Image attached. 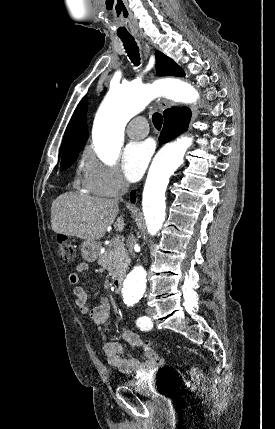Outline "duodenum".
<instances>
[{
	"label": "duodenum",
	"instance_id": "410a0bca",
	"mask_svg": "<svg viewBox=\"0 0 275 429\" xmlns=\"http://www.w3.org/2000/svg\"><path fill=\"white\" fill-rule=\"evenodd\" d=\"M113 288H114L115 292H117V293H119L121 291V288H122V278L121 277L114 279Z\"/></svg>",
	"mask_w": 275,
	"mask_h": 429
}]
</instances>
